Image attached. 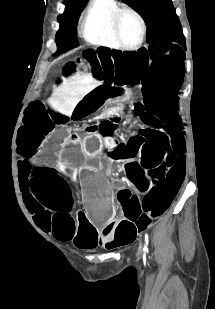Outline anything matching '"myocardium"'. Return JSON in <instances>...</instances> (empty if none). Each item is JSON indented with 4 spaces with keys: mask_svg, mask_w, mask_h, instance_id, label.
I'll return each instance as SVG.
<instances>
[{
    "mask_svg": "<svg viewBox=\"0 0 215 309\" xmlns=\"http://www.w3.org/2000/svg\"><path fill=\"white\" fill-rule=\"evenodd\" d=\"M110 12H112L114 16V23H112L114 28L112 31H114L115 33L114 37H116V44H115L116 47L117 48H140L142 43L144 42L145 34H146V27H145L142 17L133 9L126 8V7L116 8ZM122 14H128L132 16L138 25V39L135 43L131 45H124V42H122V38L118 32L121 28L120 20H122Z\"/></svg>",
    "mask_w": 215,
    "mask_h": 309,
    "instance_id": "myocardium-1",
    "label": "myocardium"
}]
</instances>
